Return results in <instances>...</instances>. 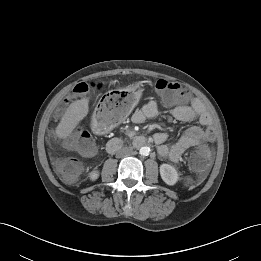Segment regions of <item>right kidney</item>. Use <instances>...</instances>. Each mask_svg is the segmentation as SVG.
I'll use <instances>...</instances> for the list:
<instances>
[{
	"label": "right kidney",
	"instance_id": "right-kidney-1",
	"mask_svg": "<svg viewBox=\"0 0 261 261\" xmlns=\"http://www.w3.org/2000/svg\"><path fill=\"white\" fill-rule=\"evenodd\" d=\"M89 177L92 181H95L99 177V172L97 170H94L90 173Z\"/></svg>",
	"mask_w": 261,
	"mask_h": 261
}]
</instances>
